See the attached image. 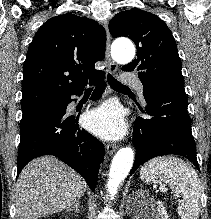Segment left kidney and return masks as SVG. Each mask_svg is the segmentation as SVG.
I'll return each mask as SVG.
<instances>
[{"instance_id": "5707ae66", "label": "left kidney", "mask_w": 211, "mask_h": 219, "mask_svg": "<svg viewBox=\"0 0 211 219\" xmlns=\"http://www.w3.org/2000/svg\"><path fill=\"white\" fill-rule=\"evenodd\" d=\"M149 217L150 219H168V213L162 201H157L152 204Z\"/></svg>"}]
</instances>
